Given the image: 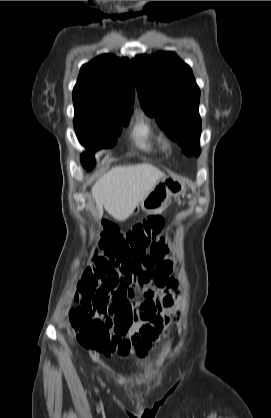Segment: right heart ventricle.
<instances>
[{
	"mask_svg": "<svg viewBox=\"0 0 271 418\" xmlns=\"http://www.w3.org/2000/svg\"><path fill=\"white\" fill-rule=\"evenodd\" d=\"M132 137L135 145L146 152H157L163 149L160 138L151 122L140 118L135 124Z\"/></svg>",
	"mask_w": 271,
	"mask_h": 418,
	"instance_id": "right-heart-ventricle-1",
	"label": "right heart ventricle"
}]
</instances>
